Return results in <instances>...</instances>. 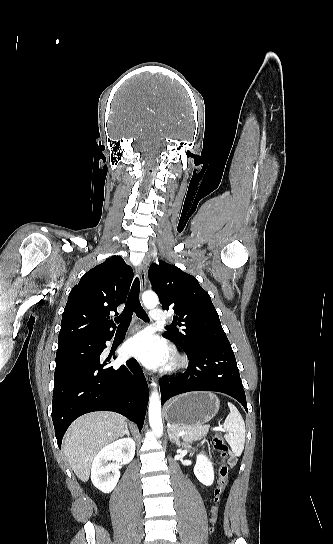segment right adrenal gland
<instances>
[{
    "label": "right adrenal gland",
    "mask_w": 333,
    "mask_h": 544,
    "mask_svg": "<svg viewBox=\"0 0 333 544\" xmlns=\"http://www.w3.org/2000/svg\"><path fill=\"white\" fill-rule=\"evenodd\" d=\"M124 434H126L128 437L130 436L128 426L126 424Z\"/></svg>",
    "instance_id": "2a0ac1e0"
}]
</instances>
